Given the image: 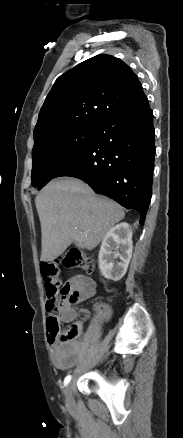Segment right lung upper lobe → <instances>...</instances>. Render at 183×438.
Wrapping results in <instances>:
<instances>
[{"instance_id":"1","label":"right lung upper lobe","mask_w":183,"mask_h":438,"mask_svg":"<svg viewBox=\"0 0 183 438\" xmlns=\"http://www.w3.org/2000/svg\"><path fill=\"white\" fill-rule=\"evenodd\" d=\"M146 96L129 66L109 55L94 56L61 75L40 110L34 140L76 126H97Z\"/></svg>"}]
</instances>
